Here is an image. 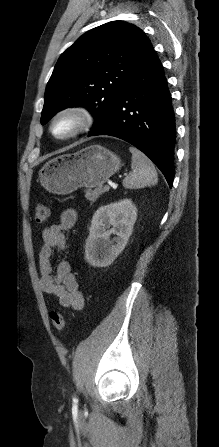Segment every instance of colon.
<instances>
[{
	"label": "colon",
	"mask_w": 219,
	"mask_h": 447,
	"mask_svg": "<svg viewBox=\"0 0 219 447\" xmlns=\"http://www.w3.org/2000/svg\"><path fill=\"white\" fill-rule=\"evenodd\" d=\"M49 218V209L44 204H37L35 207V221L37 224H44ZM54 328L62 331L65 327V319L60 311L52 310L49 314Z\"/></svg>",
	"instance_id": "1"
}]
</instances>
